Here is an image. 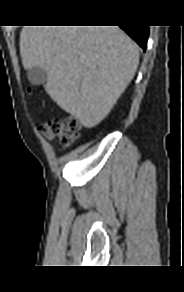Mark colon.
<instances>
[{"label":"colon","instance_id":"1","mask_svg":"<svg viewBox=\"0 0 184 292\" xmlns=\"http://www.w3.org/2000/svg\"><path fill=\"white\" fill-rule=\"evenodd\" d=\"M80 123L75 117L50 120L40 127V132L48 139H58L63 146H69L79 136Z\"/></svg>","mask_w":184,"mask_h":292}]
</instances>
